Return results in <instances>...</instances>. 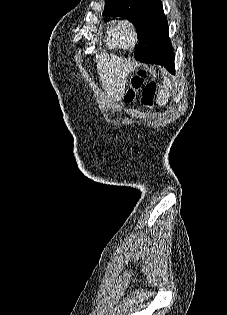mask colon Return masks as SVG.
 <instances>
[{"instance_id":"1","label":"colon","mask_w":227,"mask_h":315,"mask_svg":"<svg viewBox=\"0 0 227 315\" xmlns=\"http://www.w3.org/2000/svg\"><path fill=\"white\" fill-rule=\"evenodd\" d=\"M147 74L144 70H138L130 77L129 84L125 92V100L128 102L136 98L137 92H141V102L146 107H151L156 95V83L154 81H146Z\"/></svg>"}]
</instances>
